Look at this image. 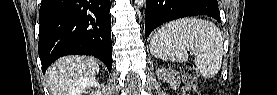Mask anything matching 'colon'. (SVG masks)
<instances>
[{
  "instance_id": "5ec220e1",
  "label": "colon",
  "mask_w": 277,
  "mask_h": 95,
  "mask_svg": "<svg viewBox=\"0 0 277 95\" xmlns=\"http://www.w3.org/2000/svg\"><path fill=\"white\" fill-rule=\"evenodd\" d=\"M182 79L184 84L185 95H195L198 94L195 80L197 77V70L193 64H185L181 68Z\"/></svg>"
}]
</instances>
